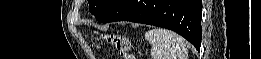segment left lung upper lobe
<instances>
[{"mask_svg":"<svg viewBox=\"0 0 261 59\" xmlns=\"http://www.w3.org/2000/svg\"><path fill=\"white\" fill-rule=\"evenodd\" d=\"M120 0H89V10L98 20Z\"/></svg>","mask_w":261,"mask_h":59,"instance_id":"left-lung-upper-lobe-1","label":"left lung upper lobe"}]
</instances>
